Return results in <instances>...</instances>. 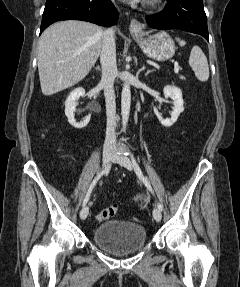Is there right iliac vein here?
<instances>
[{
	"label": "right iliac vein",
	"instance_id": "obj_1",
	"mask_svg": "<svg viewBox=\"0 0 240 287\" xmlns=\"http://www.w3.org/2000/svg\"><path fill=\"white\" fill-rule=\"evenodd\" d=\"M111 157H112V150L111 149H105L103 151V156H102V163H103V169H105L110 160H111ZM88 213H89V209L87 206L83 207L80 211V218L82 220H85L86 217L88 216Z\"/></svg>",
	"mask_w": 240,
	"mask_h": 287
}]
</instances>
